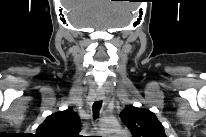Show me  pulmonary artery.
Segmentation results:
<instances>
[{"label":"pulmonary artery","instance_id":"pulmonary-artery-1","mask_svg":"<svg viewBox=\"0 0 206 137\" xmlns=\"http://www.w3.org/2000/svg\"><path fill=\"white\" fill-rule=\"evenodd\" d=\"M112 137H127V134L125 131H117Z\"/></svg>","mask_w":206,"mask_h":137}]
</instances>
